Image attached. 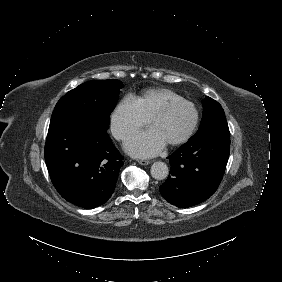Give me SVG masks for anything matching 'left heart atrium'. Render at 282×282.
Here are the masks:
<instances>
[{"label":"left heart atrium","instance_id":"1","mask_svg":"<svg viewBox=\"0 0 282 282\" xmlns=\"http://www.w3.org/2000/svg\"><path fill=\"white\" fill-rule=\"evenodd\" d=\"M166 144L165 139L155 127L132 135L126 141L127 150L138 157H149L160 152Z\"/></svg>","mask_w":282,"mask_h":282}]
</instances>
